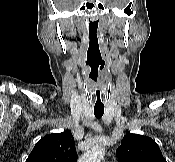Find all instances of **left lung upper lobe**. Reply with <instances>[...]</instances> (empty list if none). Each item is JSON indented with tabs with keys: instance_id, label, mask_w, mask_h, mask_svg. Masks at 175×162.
<instances>
[{
	"instance_id": "1",
	"label": "left lung upper lobe",
	"mask_w": 175,
	"mask_h": 162,
	"mask_svg": "<svg viewBox=\"0 0 175 162\" xmlns=\"http://www.w3.org/2000/svg\"><path fill=\"white\" fill-rule=\"evenodd\" d=\"M116 155L120 162H166L152 138L129 132L123 137Z\"/></svg>"
}]
</instances>
